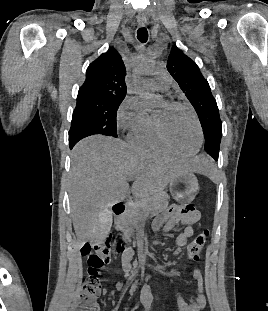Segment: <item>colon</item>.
<instances>
[{
	"instance_id": "5ec220e1",
	"label": "colon",
	"mask_w": 268,
	"mask_h": 311,
	"mask_svg": "<svg viewBox=\"0 0 268 311\" xmlns=\"http://www.w3.org/2000/svg\"><path fill=\"white\" fill-rule=\"evenodd\" d=\"M209 236L208 230H203L196 235L188 245L187 257L197 261L204 249ZM112 249L110 239L102 240L101 246L86 244L82 248V255L87 260V276L80 290V302L74 311H98L97 298L101 291L100 270L111 260Z\"/></svg>"
}]
</instances>
